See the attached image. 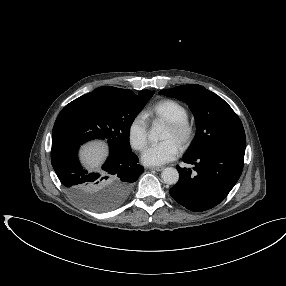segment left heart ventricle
<instances>
[{"instance_id": "1", "label": "left heart ventricle", "mask_w": 286, "mask_h": 286, "mask_svg": "<svg viewBox=\"0 0 286 286\" xmlns=\"http://www.w3.org/2000/svg\"><path fill=\"white\" fill-rule=\"evenodd\" d=\"M163 139L164 140L172 139L178 143L175 132L172 129H170L168 126L166 127L165 132L163 134Z\"/></svg>"}]
</instances>
